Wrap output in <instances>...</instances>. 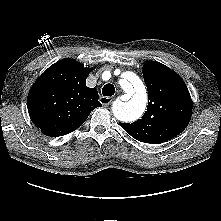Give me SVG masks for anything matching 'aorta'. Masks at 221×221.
I'll return each mask as SVG.
<instances>
[{
	"label": "aorta",
	"instance_id": "1",
	"mask_svg": "<svg viewBox=\"0 0 221 221\" xmlns=\"http://www.w3.org/2000/svg\"><path fill=\"white\" fill-rule=\"evenodd\" d=\"M120 86L126 93L127 102H115L113 114L120 121H134L141 117L147 105L145 87L133 73H128V79H121Z\"/></svg>",
	"mask_w": 221,
	"mask_h": 221
}]
</instances>
